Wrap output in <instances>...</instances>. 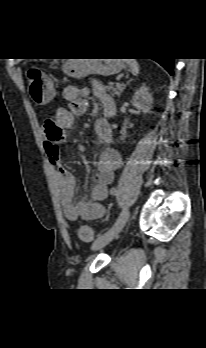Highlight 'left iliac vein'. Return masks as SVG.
I'll use <instances>...</instances> for the list:
<instances>
[{"label":"left iliac vein","instance_id":"1","mask_svg":"<svg viewBox=\"0 0 206 348\" xmlns=\"http://www.w3.org/2000/svg\"><path fill=\"white\" fill-rule=\"evenodd\" d=\"M130 216L129 209H125L118 217L114 225L103 233L92 245L93 250H100L111 242L126 225Z\"/></svg>","mask_w":206,"mask_h":348}]
</instances>
